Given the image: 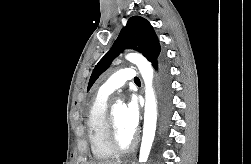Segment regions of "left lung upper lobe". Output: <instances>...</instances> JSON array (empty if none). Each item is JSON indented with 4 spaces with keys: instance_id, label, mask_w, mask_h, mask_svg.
<instances>
[{
    "instance_id": "left-lung-upper-lobe-1",
    "label": "left lung upper lobe",
    "mask_w": 251,
    "mask_h": 164,
    "mask_svg": "<svg viewBox=\"0 0 251 164\" xmlns=\"http://www.w3.org/2000/svg\"><path fill=\"white\" fill-rule=\"evenodd\" d=\"M125 49L141 52L150 62H153V66L157 63L161 49L158 38L146 19L133 16L128 20L111 50L95 66L89 80L88 90L97 78L109 68L112 60Z\"/></svg>"
}]
</instances>
